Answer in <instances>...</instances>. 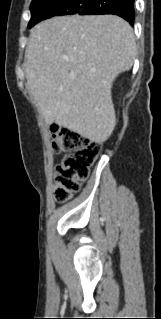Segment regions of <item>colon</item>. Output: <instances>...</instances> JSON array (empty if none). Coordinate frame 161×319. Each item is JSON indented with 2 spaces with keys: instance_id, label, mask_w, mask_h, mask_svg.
<instances>
[{
  "instance_id": "obj_1",
  "label": "colon",
  "mask_w": 161,
  "mask_h": 319,
  "mask_svg": "<svg viewBox=\"0 0 161 319\" xmlns=\"http://www.w3.org/2000/svg\"><path fill=\"white\" fill-rule=\"evenodd\" d=\"M53 149L65 156L56 167L55 198L58 202L68 201L81 187L90 173L101 145L68 129L53 125L50 129Z\"/></svg>"
}]
</instances>
